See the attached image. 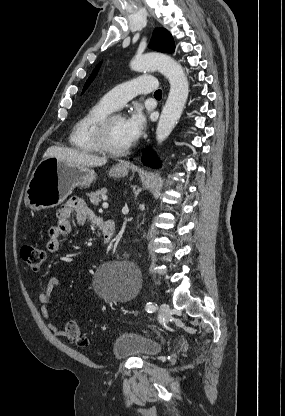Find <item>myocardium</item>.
I'll use <instances>...</instances> for the list:
<instances>
[{
  "label": "myocardium",
  "mask_w": 285,
  "mask_h": 416,
  "mask_svg": "<svg viewBox=\"0 0 285 416\" xmlns=\"http://www.w3.org/2000/svg\"><path fill=\"white\" fill-rule=\"evenodd\" d=\"M119 114L114 113H108L105 116H103L94 126L93 128V140L94 143L99 150V152H102L107 155L111 156H121L125 154L129 148L130 145L122 148V149H115L112 148L108 141H107V132L108 127L112 119ZM120 116V115H119Z\"/></svg>",
  "instance_id": "f54148a6"
}]
</instances>
